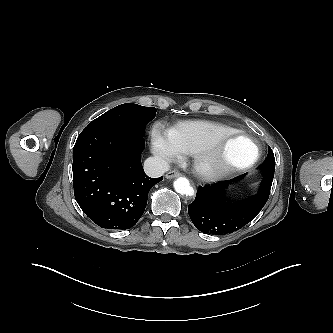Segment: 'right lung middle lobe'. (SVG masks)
Returning a JSON list of instances; mask_svg holds the SVG:
<instances>
[{
	"instance_id": "dd1d6c3e",
	"label": "right lung middle lobe",
	"mask_w": 333,
	"mask_h": 333,
	"mask_svg": "<svg viewBox=\"0 0 333 333\" xmlns=\"http://www.w3.org/2000/svg\"><path fill=\"white\" fill-rule=\"evenodd\" d=\"M156 115L154 107L126 103L90 122L84 130H118L143 134L145 126Z\"/></svg>"
}]
</instances>
